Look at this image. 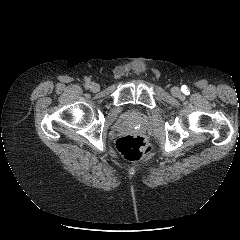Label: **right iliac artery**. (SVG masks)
Listing matches in <instances>:
<instances>
[{
    "instance_id": "1",
    "label": "right iliac artery",
    "mask_w": 240,
    "mask_h": 240,
    "mask_svg": "<svg viewBox=\"0 0 240 240\" xmlns=\"http://www.w3.org/2000/svg\"><path fill=\"white\" fill-rule=\"evenodd\" d=\"M89 83H90V81L88 80V81L86 82V86H87V87L89 86Z\"/></svg>"
}]
</instances>
